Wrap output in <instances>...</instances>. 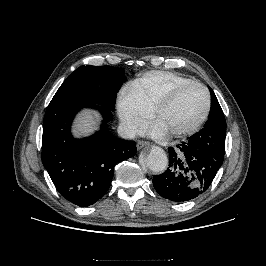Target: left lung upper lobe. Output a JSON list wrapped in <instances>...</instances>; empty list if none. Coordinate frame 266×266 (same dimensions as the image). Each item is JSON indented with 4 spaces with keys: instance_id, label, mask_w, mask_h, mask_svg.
<instances>
[{
    "instance_id": "5c2ea615",
    "label": "left lung upper lobe",
    "mask_w": 266,
    "mask_h": 266,
    "mask_svg": "<svg viewBox=\"0 0 266 266\" xmlns=\"http://www.w3.org/2000/svg\"><path fill=\"white\" fill-rule=\"evenodd\" d=\"M209 90L212 97L209 119L201 131L189 138L188 143L214 157L223 158L225 153L226 120L213 90L210 87Z\"/></svg>"
}]
</instances>
